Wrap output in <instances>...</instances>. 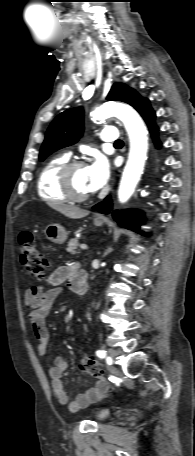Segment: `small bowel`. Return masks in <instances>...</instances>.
Listing matches in <instances>:
<instances>
[{
    "label": "small bowel",
    "mask_w": 195,
    "mask_h": 456,
    "mask_svg": "<svg viewBox=\"0 0 195 456\" xmlns=\"http://www.w3.org/2000/svg\"><path fill=\"white\" fill-rule=\"evenodd\" d=\"M73 274L71 267H59L52 272L49 283L52 287L44 290L40 287L28 288L24 293V302L30 309L29 318L32 323L34 334L39 341L38 354L46 357L49 352V332L46 326V316L54 301L62 294L61 284L66 280L70 281ZM68 367V362L64 357H57L53 365L48 370L51 380V387L58 401L66 405L69 410H77L87 406L89 403L101 398L106 390L103 381L97 382L93 387L88 388L83 393L70 400L62 383V375Z\"/></svg>",
    "instance_id": "obj_1"
}]
</instances>
